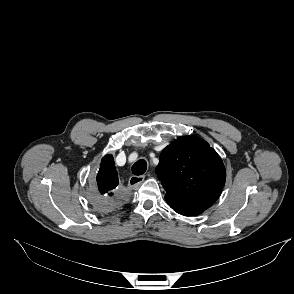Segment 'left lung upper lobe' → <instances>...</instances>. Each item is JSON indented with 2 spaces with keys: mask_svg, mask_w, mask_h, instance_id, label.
Segmentation results:
<instances>
[{
  "mask_svg": "<svg viewBox=\"0 0 294 294\" xmlns=\"http://www.w3.org/2000/svg\"><path fill=\"white\" fill-rule=\"evenodd\" d=\"M155 172L166 190L167 203L185 216L199 215L211 207L226 179L219 155L195 135L179 137L168 145Z\"/></svg>",
  "mask_w": 294,
  "mask_h": 294,
  "instance_id": "1",
  "label": "left lung upper lobe"
}]
</instances>
